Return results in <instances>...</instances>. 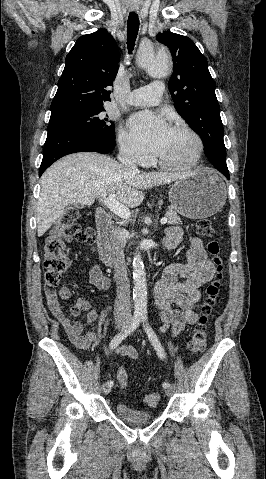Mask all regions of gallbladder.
Segmentation results:
<instances>
[{
    "label": "gallbladder",
    "mask_w": 266,
    "mask_h": 479,
    "mask_svg": "<svg viewBox=\"0 0 266 479\" xmlns=\"http://www.w3.org/2000/svg\"><path fill=\"white\" fill-rule=\"evenodd\" d=\"M74 206L77 207V208H81L80 204H74Z\"/></svg>",
    "instance_id": "obj_1"
}]
</instances>
